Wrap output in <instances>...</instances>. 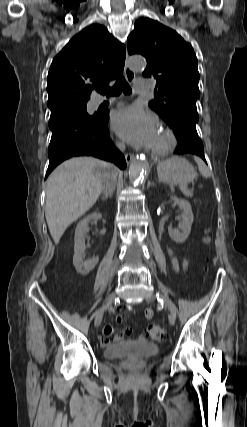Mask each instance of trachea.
<instances>
[{
	"mask_svg": "<svg viewBox=\"0 0 247 427\" xmlns=\"http://www.w3.org/2000/svg\"><path fill=\"white\" fill-rule=\"evenodd\" d=\"M97 91L101 94H106L108 96H118L121 94V92H123L124 94H131L132 90L131 87L129 86V84L126 82L124 77H121L116 83L115 85L106 90H103L102 88H98Z\"/></svg>",
	"mask_w": 247,
	"mask_h": 427,
	"instance_id": "3493384b",
	"label": "trachea"
}]
</instances>
